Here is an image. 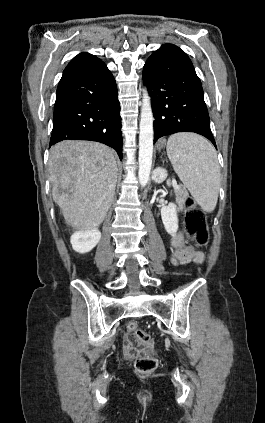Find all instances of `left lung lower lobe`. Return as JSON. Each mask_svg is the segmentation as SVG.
Instances as JSON below:
<instances>
[{
    "label": "left lung lower lobe",
    "instance_id": "left-lung-lower-lobe-1",
    "mask_svg": "<svg viewBox=\"0 0 265 423\" xmlns=\"http://www.w3.org/2000/svg\"><path fill=\"white\" fill-rule=\"evenodd\" d=\"M143 80L155 118L154 143L173 133L195 132L216 147L201 81L179 47L164 44L155 51L144 65Z\"/></svg>",
    "mask_w": 265,
    "mask_h": 423
}]
</instances>
